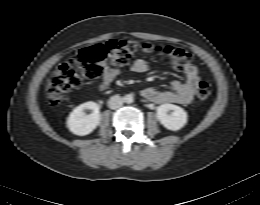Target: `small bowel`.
<instances>
[{
  "label": "small bowel",
  "mask_w": 260,
  "mask_h": 205,
  "mask_svg": "<svg viewBox=\"0 0 260 205\" xmlns=\"http://www.w3.org/2000/svg\"><path fill=\"white\" fill-rule=\"evenodd\" d=\"M147 70L148 64L143 59H137L131 65V71L134 73H145ZM182 71L185 79L172 81L168 90H157L153 87H147L142 90V96L157 104H190L194 99L196 85L199 82V72L194 64L186 65ZM120 73V67L104 63L101 80L98 85L99 90L106 91Z\"/></svg>",
  "instance_id": "obj_1"
}]
</instances>
